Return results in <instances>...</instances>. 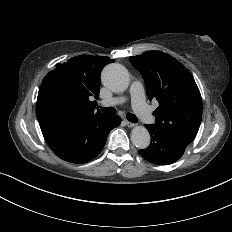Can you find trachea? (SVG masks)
I'll return each mask as SVG.
<instances>
[{"instance_id": "trachea-1", "label": "trachea", "mask_w": 232, "mask_h": 232, "mask_svg": "<svg viewBox=\"0 0 232 232\" xmlns=\"http://www.w3.org/2000/svg\"><path fill=\"white\" fill-rule=\"evenodd\" d=\"M101 110H102L105 114H110V115H112V114H115V113H116V109L113 108V107H108V108H107V107H102ZM126 118H127L130 122H132V123H137V122H138V118H137L134 114H132V113H127Z\"/></svg>"}]
</instances>
